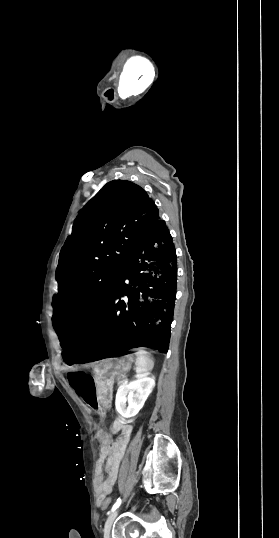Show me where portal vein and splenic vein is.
<instances>
[{
  "mask_svg": "<svg viewBox=\"0 0 279 538\" xmlns=\"http://www.w3.org/2000/svg\"><path fill=\"white\" fill-rule=\"evenodd\" d=\"M129 377H125L124 383H128Z\"/></svg>",
  "mask_w": 279,
  "mask_h": 538,
  "instance_id": "portal-vein-and-splenic-vein-1",
  "label": "portal vein and splenic vein"
}]
</instances>
